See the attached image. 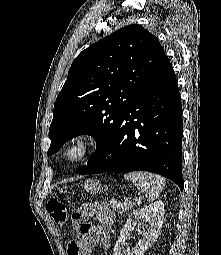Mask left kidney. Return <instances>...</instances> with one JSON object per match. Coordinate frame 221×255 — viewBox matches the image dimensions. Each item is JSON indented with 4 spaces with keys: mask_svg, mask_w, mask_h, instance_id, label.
Returning a JSON list of instances; mask_svg holds the SVG:
<instances>
[{
    "mask_svg": "<svg viewBox=\"0 0 221 255\" xmlns=\"http://www.w3.org/2000/svg\"><path fill=\"white\" fill-rule=\"evenodd\" d=\"M164 203L158 200L150 205L133 211L123 226L120 237L114 246L113 255H143L158 238L164 219ZM137 223L143 239L135 247L126 248V239L133 225Z\"/></svg>",
    "mask_w": 221,
    "mask_h": 255,
    "instance_id": "obj_1",
    "label": "left kidney"
}]
</instances>
